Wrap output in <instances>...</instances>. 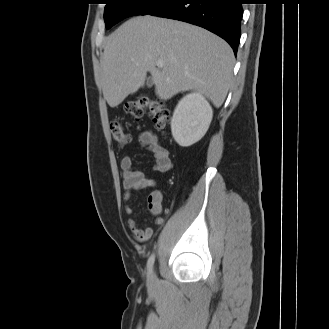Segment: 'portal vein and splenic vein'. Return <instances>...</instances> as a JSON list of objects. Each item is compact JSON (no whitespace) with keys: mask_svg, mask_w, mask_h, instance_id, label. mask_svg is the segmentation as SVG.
Instances as JSON below:
<instances>
[{"mask_svg":"<svg viewBox=\"0 0 329 329\" xmlns=\"http://www.w3.org/2000/svg\"><path fill=\"white\" fill-rule=\"evenodd\" d=\"M156 65L157 67L162 68L164 66V63L162 61H158Z\"/></svg>","mask_w":329,"mask_h":329,"instance_id":"portal-vein-and-splenic-vein-1","label":"portal vein and splenic vein"}]
</instances>
